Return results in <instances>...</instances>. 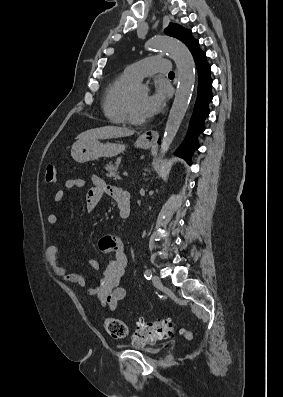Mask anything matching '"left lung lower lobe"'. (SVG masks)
I'll return each instance as SVG.
<instances>
[{"instance_id": "obj_1", "label": "left lung lower lobe", "mask_w": 283, "mask_h": 397, "mask_svg": "<svg viewBox=\"0 0 283 397\" xmlns=\"http://www.w3.org/2000/svg\"><path fill=\"white\" fill-rule=\"evenodd\" d=\"M190 51L195 59L198 70V92L193 115L190 119L186 138L176 154L191 164V154L198 148V134L204 131V120L209 114L208 105L212 100V79L210 77V65L206 61V54L199 48V43L192 46ZM160 143V140L158 141Z\"/></svg>"}]
</instances>
